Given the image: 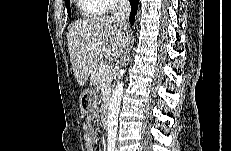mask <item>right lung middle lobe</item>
Instances as JSON below:
<instances>
[{
  "label": "right lung middle lobe",
  "instance_id": "obj_1",
  "mask_svg": "<svg viewBox=\"0 0 231 151\" xmlns=\"http://www.w3.org/2000/svg\"><path fill=\"white\" fill-rule=\"evenodd\" d=\"M66 8H67V12L69 17H71V9H70V1L68 0V2H65Z\"/></svg>",
  "mask_w": 231,
  "mask_h": 151
}]
</instances>
